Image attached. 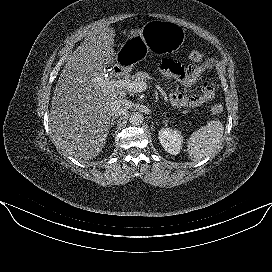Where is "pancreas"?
<instances>
[{"label": "pancreas", "mask_w": 272, "mask_h": 272, "mask_svg": "<svg viewBox=\"0 0 272 272\" xmlns=\"http://www.w3.org/2000/svg\"><path fill=\"white\" fill-rule=\"evenodd\" d=\"M149 78H150V75L147 72L139 71L131 76V81L146 82Z\"/></svg>", "instance_id": "cf45deb5"}]
</instances>
